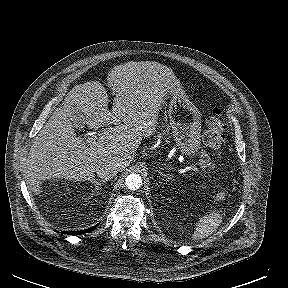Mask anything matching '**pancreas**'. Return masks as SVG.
<instances>
[{"instance_id": "obj_1", "label": "pancreas", "mask_w": 288, "mask_h": 288, "mask_svg": "<svg viewBox=\"0 0 288 288\" xmlns=\"http://www.w3.org/2000/svg\"><path fill=\"white\" fill-rule=\"evenodd\" d=\"M198 164L202 169L214 168V164L210 162V157L206 154L202 155V159L199 160Z\"/></svg>"}]
</instances>
